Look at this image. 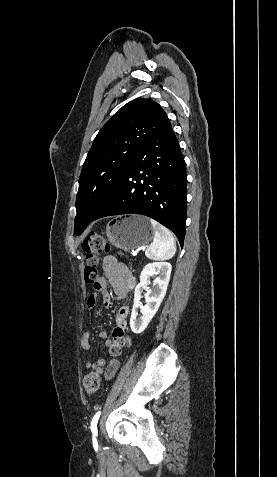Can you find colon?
<instances>
[{
  "instance_id": "obj_1",
  "label": "colon",
  "mask_w": 277,
  "mask_h": 477,
  "mask_svg": "<svg viewBox=\"0 0 277 477\" xmlns=\"http://www.w3.org/2000/svg\"><path fill=\"white\" fill-rule=\"evenodd\" d=\"M81 246L86 255L85 280L97 290L100 288L101 282L98 273L100 257L109 251V244L103 236L91 232L83 239ZM84 388L89 395H93L99 390L100 378L96 372L88 373L85 376Z\"/></svg>"
}]
</instances>
